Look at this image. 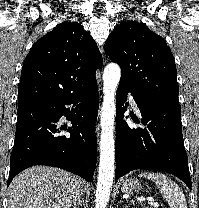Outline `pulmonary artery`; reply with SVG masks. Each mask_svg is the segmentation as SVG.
I'll list each match as a JSON object with an SVG mask.
<instances>
[{
	"mask_svg": "<svg viewBox=\"0 0 199 208\" xmlns=\"http://www.w3.org/2000/svg\"><path fill=\"white\" fill-rule=\"evenodd\" d=\"M128 99H129V102L131 103L133 109H134L136 112H139V108H138V106H137V104H136V101H135L134 97L131 96V95H129Z\"/></svg>",
	"mask_w": 199,
	"mask_h": 208,
	"instance_id": "e3ab8cb5",
	"label": "pulmonary artery"
}]
</instances>
